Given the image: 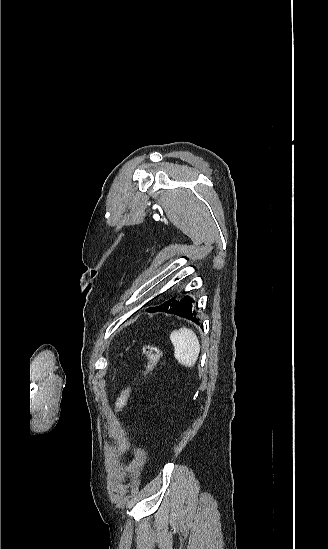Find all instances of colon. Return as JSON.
Masks as SVG:
<instances>
[{
  "label": "colon",
  "mask_w": 328,
  "mask_h": 549,
  "mask_svg": "<svg viewBox=\"0 0 328 549\" xmlns=\"http://www.w3.org/2000/svg\"><path fill=\"white\" fill-rule=\"evenodd\" d=\"M142 353L146 358V366L141 376V379H144L147 376H149L157 368L162 358V351L159 347L155 345L146 344L142 347ZM134 384L135 383L128 385L118 396L115 402L116 414H120L124 409V407L126 406Z\"/></svg>",
  "instance_id": "1"
}]
</instances>
